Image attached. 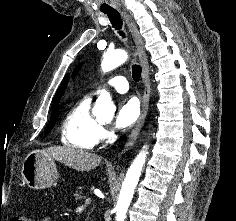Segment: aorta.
I'll return each mask as SVG.
<instances>
[{"mask_svg":"<svg viewBox=\"0 0 236 221\" xmlns=\"http://www.w3.org/2000/svg\"><path fill=\"white\" fill-rule=\"evenodd\" d=\"M127 57V53L124 50H115L105 53L101 64L102 70L109 72L117 68L127 60ZM115 110L116 107L111 100L110 94L106 90H101L93 108V115L97 118L111 119L114 116ZM146 154L147 152L145 150L139 152L127 171L116 205V221H124L126 218V213L133 198L135 187L145 164Z\"/></svg>","mask_w":236,"mask_h":221,"instance_id":"aorta-1","label":"aorta"}]
</instances>
